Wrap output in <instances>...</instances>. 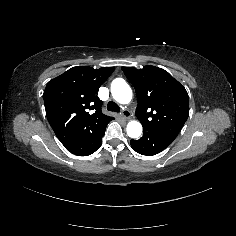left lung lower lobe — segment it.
Instances as JSON below:
<instances>
[{
  "label": "left lung lower lobe",
  "instance_id": "1",
  "mask_svg": "<svg viewBox=\"0 0 236 236\" xmlns=\"http://www.w3.org/2000/svg\"><path fill=\"white\" fill-rule=\"evenodd\" d=\"M176 136L166 133L143 130V136L139 140H131V147L139 154L155 155L168 147Z\"/></svg>",
  "mask_w": 236,
  "mask_h": 236
}]
</instances>
